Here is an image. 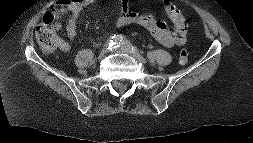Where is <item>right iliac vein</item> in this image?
Wrapping results in <instances>:
<instances>
[{
    "mask_svg": "<svg viewBox=\"0 0 253 143\" xmlns=\"http://www.w3.org/2000/svg\"><path fill=\"white\" fill-rule=\"evenodd\" d=\"M106 52H107V49H106V48H103V49L100 51V54H101V55H104Z\"/></svg>",
    "mask_w": 253,
    "mask_h": 143,
    "instance_id": "right-iliac-vein-1",
    "label": "right iliac vein"
}]
</instances>
